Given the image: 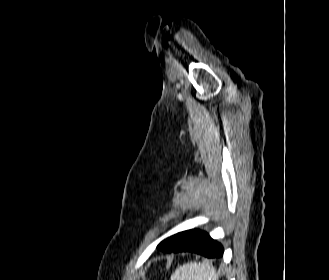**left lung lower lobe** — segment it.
Returning a JSON list of instances; mask_svg holds the SVG:
<instances>
[{
	"instance_id": "0a47b994",
	"label": "left lung lower lobe",
	"mask_w": 329,
	"mask_h": 280,
	"mask_svg": "<svg viewBox=\"0 0 329 280\" xmlns=\"http://www.w3.org/2000/svg\"><path fill=\"white\" fill-rule=\"evenodd\" d=\"M160 250L164 252L190 251L205 257H221L223 248L207 233L200 230H189L167 238V244Z\"/></svg>"
}]
</instances>
